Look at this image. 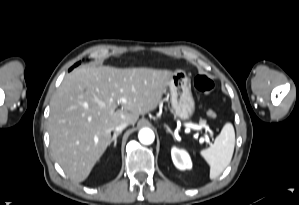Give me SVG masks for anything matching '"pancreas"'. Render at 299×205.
Instances as JSON below:
<instances>
[{"label": "pancreas", "mask_w": 299, "mask_h": 205, "mask_svg": "<svg viewBox=\"0 0 299 205\" xmlns=\"http://www.w3.org/2000/svg\"><path fill=\"white\" fill-rule=\"evenodd\" d=\"M200 124H201V125H205V124H206V121H205V120H200Z\"/></svg>", "instance_id": "cf45deb5"}]
</instances>
